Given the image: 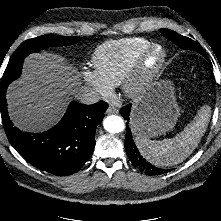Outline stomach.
I'll return each mask as SVG.
<instances>
[{
    "label": "stomach",
    "mask_w": 221,
    "mask_h": 221,
    "mask_svg": "<svg viewBox=\"0 0 221 221\" xmlns=\"http://www.w3.org/2000/svg\"><path fill=\"white\" fill-rule=\"evenodd\" d=\"M179 111L173 83L167 79L153 81L133 102L132 131L148 139L164 135L176 125Z\"/></svg>",
    "instance_id": "obj_1"
}]
</instances>
